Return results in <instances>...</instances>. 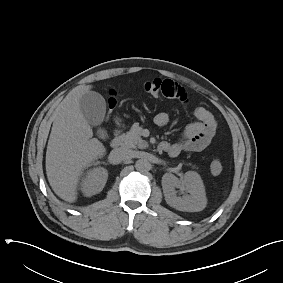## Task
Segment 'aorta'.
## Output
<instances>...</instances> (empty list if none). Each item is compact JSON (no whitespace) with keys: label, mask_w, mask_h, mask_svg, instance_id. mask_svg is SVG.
Wrapping results in <instances>:
<instances>
[{"label":"aorta","mask_w":283,"mask_h":283,"mask_svg":"<svg viewBox=\"0 0 283 283\" xmlns=\"http://www.w3.org/2000/svg\"><path fill=\"white\" fill-rule=\"evenodd\" d=\"M135 168L139 172H145L148 171L150 168V163L146 159H139L135 163Z\"/></svg>","instance_id":"762f6f07"}]
</instances>
